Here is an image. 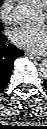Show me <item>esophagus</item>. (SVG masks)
I'll return each instance as SVG.
<instances>
[{
    "instance_id": "34e87169",
    "label": "esophagus",
    "mask_w": 47,
    "mask_h": 129,
    "mask_svg": "<svg viewBox=\"0 0 47 129\" xmlns=\"http://www.w3.org/2000/svg\"><path fill=\"white\" fill-rule=\"evenodd\" d=\"M28 55L30 56L31 59H34V60H41V57L38 56V55H34V54H30V53H28Z\"/></svg>"
}]
</instances>
